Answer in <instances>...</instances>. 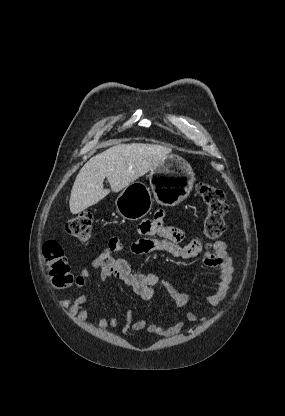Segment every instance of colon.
Here are the masks:
<instances>
[{
	"label": "colon",
	"mask_w": 285,
	"mask_h": 416,
	"mask_svg": "<svg viewBox=\"0 0 285 416\" xmlns=\"http://www.w3.org/2000/svg\"><path fill=\"white\" fill-rule=\"evenodd\" d=\"M198 195L206 206L203 233L209 240L219 239L226 231L228 206L222 190L201 183L197 187ZM66 232L79 242L86 243L93 234V216L82 213L66 223ZM43 257L49 267V276L53 287L65 289L73 282L71 267L61 245L56 241H46L42 247Z\"/></svg>",
	"instance_id": "colon-1"
}]
</instances>
